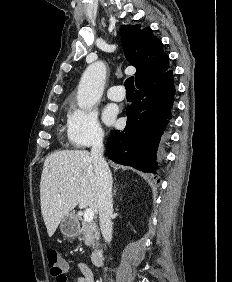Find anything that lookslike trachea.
Here are the masks:
<instances>
[{
  "label": "trachea",
  "mask_w": 232,
  "mask_h": 282,
  "mask_svg": "<svg viewBox=\"0 0 232 282\" xmlns=\"http://www.w3.org/2000/svg\"><path fill=\"white\" fill-rule=\"evenodd\" d=\"M124 86H125L126 92H133L135 90L134 77L131 76L128 79H126Z\"/></svg>",
  "instance_id": "1"
}]
</instances>
